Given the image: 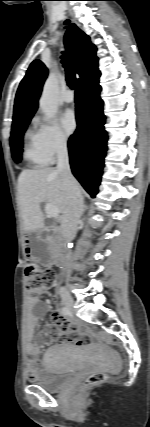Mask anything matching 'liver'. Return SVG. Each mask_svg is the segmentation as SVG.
Listing matches in <instances>:
<instances>
[{
  "label": "liver",
  "mask_w": 150,
  "mask_h": 427,
  "mask_svg": "<svg viewBox=\"0 0 150 427\" xmlns=\"http://www.w3.org/2000/svg\"><path fill=\"white\" fill-rule=\"evenodd\" d=\"M18 196L21 218L26 232L40 230L44 227L41 203L45 202L57 207L60 213H63L66 207L63 179L54 168L23 170L18 178Z\"/></svg>",
  "instance_id": "1"
}]
</instances>
